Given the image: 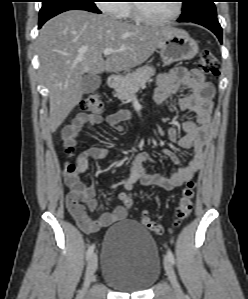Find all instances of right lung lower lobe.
Listing matches in <instances>:
<instances>
[{"mask_svg": "<svg viewBox=\"0 0 248 299\" xmlns=\"http://www.w3.org/2000/svg\"><path fill=\"white\" fill-rule=\"evenodd\" d=\"M47 20L39 22V27H41Z\"/></svg>", "mask_w": 248, "mask_h": 299, "instance_id": "obj_1", "label": "right lung lower lobe"}]
</instances>
